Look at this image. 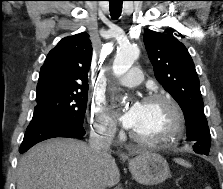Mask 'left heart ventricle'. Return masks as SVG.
<instances>
[{
  "label": "left heart ventricle",
  "instance_id": "left-heart-ventricle-1",
  "mask_svg": "<svg viewBox=\"0 0 223 189\" xmlns=\"http://www.w3.org/2000/svg\"><path fill=\"white\" fill-rule=\"evenodd\" d=\"M171 124V114L164 102H143L142 115L132 131L143 136H154Z\"/></svg>",
  "mask_w": 223,
  "mask_h": 189
}]
</instances>
